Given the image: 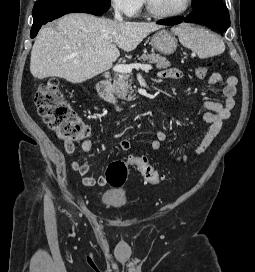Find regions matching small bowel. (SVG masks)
Instances as JSON below:
<instances>
[{
  "label": "small bowel",
  "instance_id": "1",
  "mask_svg": "<svg viewBox=\"0 0 255 272\" xmlns=\"http://www.w3.org/2000/svg\"><path fill=\"white\" fill-rule=\"evenodd\" d=\"M184 74L177 69H167L159 72L158 78L160 79H181ZM238 83V78L235 75H230L226 79L218 73L214 72L208 78L209 85H223V95L224 102L205 101L204 106L208 109V112L204 115V120L209 124V128L207 133L205 134L201 144L196 150V154L203 153L212 143L214 138L219 134L223 122L227 120L230 115L232 109L236 105V85ZM166 140V134L164 131L159 130L156 133L155 139L151 142L150 147L152 150L156 151L160 149L162 143ZM120 148L123 151H129L131 149V142L128 139H123L120 141ZM82 150L85 153H88L93 148V141L91 138H87L81 145ZM65 150L69 156H75V148L74 146H65ZM186 157H179L177 161L185 162ZM71 166L73 170L80 173L82 176V183L85 186H105L107 184L106 176L99 175L94 176L91 174L90 167L87 162L80 163L77 159H73L71 162Z\"/></svg>",
  "mask_w": 255,
  "mask_h": 272
}]
</instances>
